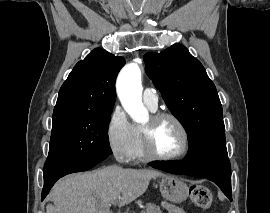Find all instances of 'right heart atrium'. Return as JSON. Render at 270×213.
Segmentation results:
<instances>
[{
	"label": "right heart atrium",
	"mask_w": 270,
	"mask_h": 213,
	"mask_svg": "<svg viewBox=\"0 0 270 213\" xmlns=\"http://www.w3.org/2000/svg\"><path fill=\"white\" fill-rule=\"evenodd\" d=\"M106 137L108 146L117 160L127 162L131 159L134 127L120 106H115L111 112L106 129Z\"/></svg>",
	"instance_id": "obj_1"
}]
</instances>
